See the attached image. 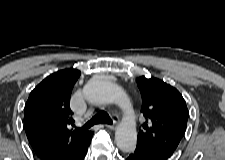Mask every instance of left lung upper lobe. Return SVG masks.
<instances>
[{"mask_svg": "<svg viewBox=\"0 0 225 160\" xmlns=\"http://www.w3.org/2000/svg\"><path fill=\"white\" fill-rule=\"evenodd\" d=\"M142 95L145 117L137 138V148L159 160L170 158L186 131L189 112L182 95L157 78L136 80Z\"/></svg>", "mask_w": 225, "mask_h": 160, "instance_id": "5c2ea615", "label": "left lung upper lobe"}]
</instances>
